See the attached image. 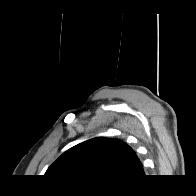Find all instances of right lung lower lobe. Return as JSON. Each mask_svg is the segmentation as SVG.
Returning a JSON list of instances; mask_svg holds the SVG:
<instances>
[{
    "label": "right lung lower lobe",
    "instance_id": "1",
    "mask_svg": "<svg viewBox=\"0 0 196 196\" xmlns=\"http://www.w3.org/2000/svg\"><path fill=\"white\" fill-rule=\"evenodd\" d=\"M129 183H131V182H129ZM129 183H124V184H119V185H126V184H129Z\"/></svg>",
    "mask_w": 196,
    "mask_h": 196
}]
</instances>
